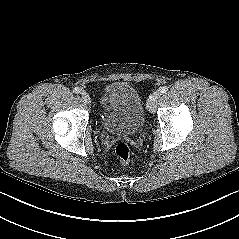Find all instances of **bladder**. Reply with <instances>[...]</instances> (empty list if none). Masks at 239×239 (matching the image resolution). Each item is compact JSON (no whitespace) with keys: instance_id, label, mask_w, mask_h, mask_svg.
<instances>
[{"instance_id":"31cf9c89","label":"bladder","mask_w":239,"mask_h":239,"mask_svg":"<svg viewBox=\"0 0 239 239\" xmlns=\"http://www.w3.org/2000/svg\"><path fill=\"white\" fill-rule=\"evenodd\" d=\"M107 109L101 115L103 128L110 132L134 134L143 125L144 107L140 93L129 83L112 82L105 88Z\"/></svg>"}]
</instances>
